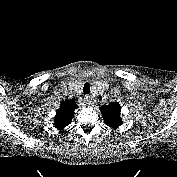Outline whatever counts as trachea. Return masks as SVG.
<instances>
[{
  "instance_id": "1",
  "label": "trachea",
  "mask_w": 177,
  "mask_h": 177,
  "mask_svg": "<svg viewBox=\"0 0 177 177\" xmlns=\"http://www.w3.org/2000/svg\"><path fill=\"white\" fill-rule=\"evenodd\" d=\"M90 92V84L89 83H85L84 87H83V93L84 94H88Z\"/></svg>"
}]
</instances>
